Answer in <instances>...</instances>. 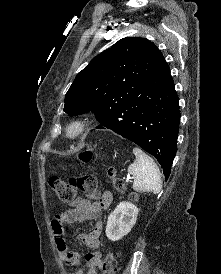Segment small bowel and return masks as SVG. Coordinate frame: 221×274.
<instances>
[{"label": "small bowel", "mask_w": 221, "mask_h": 274, "mask_svg": "<svg viewBox=\"0 0 221 274\" xmlns=\"http://www.w3.org/2000/svg\"><path fill=\"white\" fill-rule=\"evenodd\" d=\"M113 200L110 191H104L98 201L77 199L61 212L57 213L52 220L55 245L59 256L69 267L76 268L74 274H98L102 267L101 253L98 251L99 237L103 231V222L98 220L92 231L78 235V240L91 250L86 255L85 264L82 263L79 253L68 249L65 240L66 223L80 224L88 220L99 219L102 211L109 208Z\"/></svg>", "instance_id": "1"}]
</instances>
